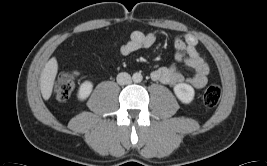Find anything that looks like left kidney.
<instances>
[{
  "label": "left kidney",
  "instance_id": "1",
  "mask_svg": "<svg viewBox=\"0 0 267 166\" xmlns=\"http://www.w3.org/2000/svg\"><path fill=\"white\" fill-rule=\"evenodd\" d=\"M174 93L177 98L185 104L191 103L195 95L193 87L186 83L176 84L174 86Z\"/></svg>",
  "mask_w": 267,
  "mask_h": 166
}]
</instances>
